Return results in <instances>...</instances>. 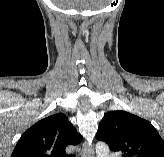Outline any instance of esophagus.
<instances>
[{
    "label": "esophagus",
    "instance_id": "1",
    "mask_svg": "<svg viewBox=\"0 0 164 157\" xmlns=\"http://www.w3.org/2000/svg\"><path fill=\"white\" fill-rule=\"evenodd\" d=\"M83 156L84 157H94V149L87 143L83 146Z\"/></svg>",
    "mask_w": 164,
    "mask_h": 157
}]
</instances>
